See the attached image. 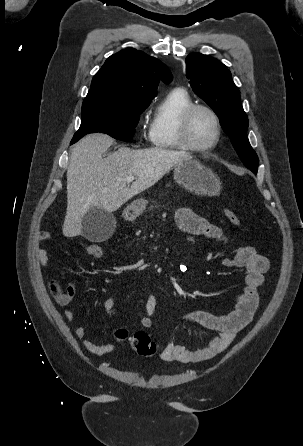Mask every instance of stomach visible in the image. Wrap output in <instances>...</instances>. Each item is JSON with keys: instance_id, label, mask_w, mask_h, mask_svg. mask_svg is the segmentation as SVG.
Listing matches in <instances>:
<instances>
[{"instance_id": "0dacf381", "label": "stomach", "mask_w": 303, "mask_h": 446, "mask_svg": "<svg viewBox=\"0 0 303 446\" xmlns=\"http://www.w3.org/2000/svg\"><path fill=\"white\" fill-rule=\"evenodd\" d=\"M174 179L187 191L200 196H216L221 190V182L217 175L194 159L177 164ZM147 203L144 198L135 200L124 210V217L127 220H134L143 213Z\"/></svg>"}]
</instances>
